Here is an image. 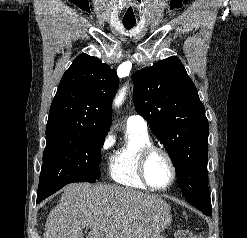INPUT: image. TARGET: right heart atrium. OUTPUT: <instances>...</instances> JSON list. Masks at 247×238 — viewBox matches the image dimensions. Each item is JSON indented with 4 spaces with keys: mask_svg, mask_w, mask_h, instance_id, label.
<instances>
[{
    "mask_svg": "<svg viewBox=\"0 0 247 238\" xmlns=\"http://www.w3.org/2000/svg\"><path fill=\"white\" fill-rule=\"evenodd\" d=\"M112 135L110 133H106L100 142V150L101 152H105L106 150H108L112 144Z\"/></svg>",
    "mask_w": 247,
    "mask_h": 238,
    "instance_id": "right-heart-atrium-1",
    "label": "right heart atrium"
}]
</instances>
